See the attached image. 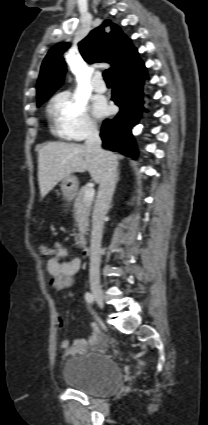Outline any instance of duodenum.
Here are the masks:
<instances>
[{
    "mask_svg": "<svg viewBox=\"0 0 208 425\" xmlns=\"http://www.w3.org/2000/svg\"><path fill=\"white\" fill-rule=\"evenodd\" d=\"M82 253H83L84 255H89V254L91 253V249H90V247H89V246H87V245H83V246H82Z\"/></svg>",
    "mask_w": 208,
    "mask_h": 425,
    "instance_id": "1",
    "label": "duodenum"
}]
</instances>
